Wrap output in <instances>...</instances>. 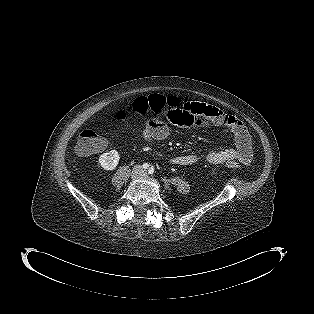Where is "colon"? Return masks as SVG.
<instances>
[{"instance_id": "colon-1", "label": "colon", "mask_w": 314, "mask_h": 314, "mask_svg": "<svg viewBox=\"0 0 314 314\" xmlns=\"http://www.w3.org/2000/svg\"><path fill=\"white\" fill-rule=\"evenodd\" d=\"M171 104H181V101L175 96L166 97L161 94L141 96L134 100L131 109L118 112L116 117L119 120H124L133 111L142 119L151 122L163 116L164 109ZM103 145V138L94 129L85 128L78 136L75 150L79 155H89L100 151ZM225 165L230 169L240 167L239 162L235 159L226 160Z\"/></svg>"}]
</instances>
